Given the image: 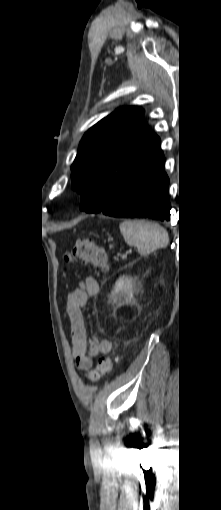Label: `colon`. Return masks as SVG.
Wrapping results in <instances>:
<instances>
[{
	"instance_id": "colon-1",
	"label": "colon",
	"mask_w": 221,
	"mask_h": 510,
	"mask_svg": "<svg viewBox=\"0 0 221 510\" xmlns=\"http://www.w3.org/2000/svg\"><path fill=\"white\" fill-rule=\"evenodd\" d=\"M65 260L68 262L77 261L101 269H105L108 266V255L106 250L95 245L88 239H79L75 243V246L65 254ZM115 360V353L101 358L95 369L88 374L87 378L90 381H96L101 377L106 376L112 370Z\"/></svg>"
}]
</instances>
